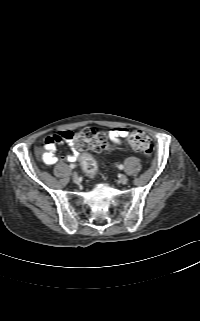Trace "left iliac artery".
<instances>
[{"instance_id": "left-iliac-artery-1", "label": "left iliac artery", "mask_w": 200, "mask_h": 321, "mask_svg": "<svg viewBox=\"0 0 200 321\" xmlns=\"http://www.w3.org/2000/svg\"><path fill=\"white\" fill-rule=\"evenodd\" d=\"M118 168H119L120 170H122V169L124 168V166H123L122 164H120V165L118 166Z\"/></svg>"}]
</instances>
